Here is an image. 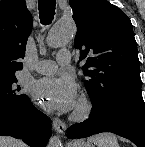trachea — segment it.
<instances>
[{
    "label": "trachea",
    "mask_w": 145,
    "mask_h": 147,
    "mask_svg": "<svg viewBox=\"0 0 145 147\" xmlns=\"http://www.w3.org/2000/svg\"><path fill=\"white\" fill-rule=\"evenodd\" d=\"M56 0H38L40 20L43 25L52 22L55 15Z\"/></svg>",
    "instance_id": "trachea-1"
}]
</instances>
